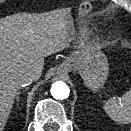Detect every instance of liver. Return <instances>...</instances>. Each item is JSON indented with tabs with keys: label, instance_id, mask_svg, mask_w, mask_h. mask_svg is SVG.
<instances>
[{
	"label": "liver",
	"instance_id": "6515ba94",
	"mask_svg": "<svg viewBox=\"0 0 131 131\" xmlns=\"http://www.w3.org/2000/svg\"><path fill=\"white\" fill-rule=\"evenodd\" d=\"M70 41L71 23L66 10L0 20V131L7 123L20 78L34 73L39 79L44 58L69 47Z\"/></svg>",
	"mask_w": 131,
	"mask_h": 131
}]
</instances>
